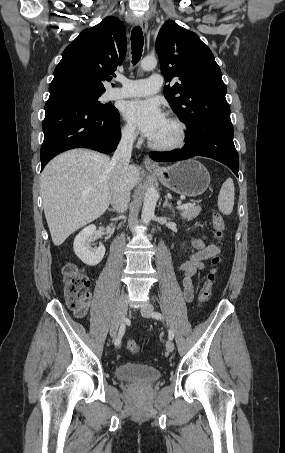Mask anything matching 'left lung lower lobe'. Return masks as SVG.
Instances as JSON below:
<instances>
[{
  "label": "left lung lower lobe",
  "mask_w": 285,
  "mask_h": 453,
  "mask_svg": "<svg viewBox=\"0 0 285 453\" xmlns=\"http://www.w3.org/2000/svg\"><path fill=\"white\" fill-rule=\"evenodd\" d=\"M185 146L178 151L151 152L159 162H174L194 156H205L227 165L236 176L239 170L238 153L233 143V126L228 120H203L187 126Z\"/></svg>",
  "instance_id": "left-lung-lower-lobe-1"
}]
</instances>
